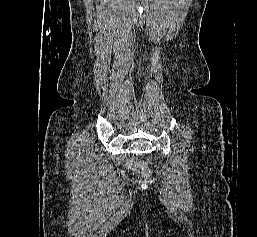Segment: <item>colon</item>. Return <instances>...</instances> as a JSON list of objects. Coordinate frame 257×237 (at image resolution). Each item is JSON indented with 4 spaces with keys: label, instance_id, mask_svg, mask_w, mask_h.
I'll return each instance as SVG.
<instances>
[{
    "label": "colon",
    "instance_id": "obj_1",
    "mask_svg": "<svg viewBox=\"0 0 257 237\" xmlns=\"http://www.w3.org/2000/svg\"><path fill=\"white\" fill-rule=\"evenodd\" d=\"M136 170L142 175H146L149 172L147 166L144 163H137Z\"/></svg>",
    "mask_w": 257,
    "mask_h": 237
}]
</instances>
